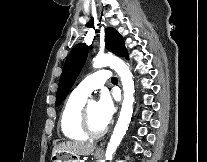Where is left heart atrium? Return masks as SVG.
<instances>
[{
	"mask_svg": "<svg viewBox=\"0 0 207 162\" xmlns=\"http://www.w3.org/2000/svg\"><path fill=\"white\" fill-rule=\"evenodd\" d=\"M98 108L100 117L106 126L110 123L116 109L114 99L108 91L102 92L98 101Z\"/></svg>",
	"mask_w": 207,
	"mask_h": 162,
	"instance_id": "left-heart-atrium-1",
	"label": "left heart atrium"
}]
</instances>
